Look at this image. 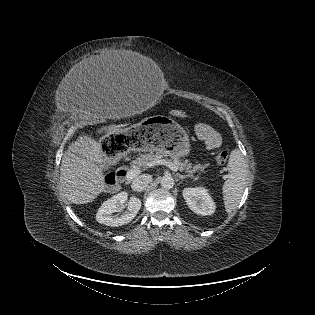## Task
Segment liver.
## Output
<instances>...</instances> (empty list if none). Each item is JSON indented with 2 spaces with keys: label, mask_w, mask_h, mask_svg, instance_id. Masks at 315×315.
<instances>
[{
  "label": "liver",
  "mask_w": 315,
  "mask_h": 315,
  "mask_svg": "<svg viewBox=\"0 0 315 315\" xmlns=\"http://www.w3.org/2000/svg\"><path fill=\"white\" fill-rule=\"evenodd\" d=\"M112 59L107 55L91 57L80 65V69L90 66L118 68V58ZM121 125L102 126L98 133H123ZM112 158L102 151L101 142L92 137L81 134L76 141L71 142L63 154L60 168V183L65 197L73 204H87L93 202L105 190L103 168L111 163Z\"/></svg>",
  "instance_id": "obj_1"
}]
</instances>
